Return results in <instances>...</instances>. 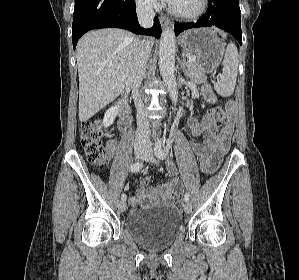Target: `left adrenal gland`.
I'll return each mask as SVG.
<instances>
[{
  "mask_svg": "<svg viewBox=\"0 0 299 280\" xmlns=\"http://www.w3.org/2000/svg\"><path fill=\"white\" fill-rule=\"evenodd\" d=\"M180 68L182 69L183 73L186 75L187 69H186L185 55L184 54H183L182 60L180 62Z\"/></svg>",
  "mask_w": 299,
  "mask_h": 280,
  "instance_id": "a2214340",
  "label": "left adrenal gland"
}]
</instances>
